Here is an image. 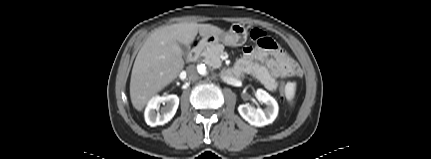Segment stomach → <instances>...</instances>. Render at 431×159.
Returning a JSON list of instances; mask_svg holds the SVG:
<instances>
[{
    "label": "stomach",
    "instance_id": "0dacf381",
    "mask_svg": "<svg viewBox=\"0 0 431 159\" xmlns=\"http://www.w3.org/2000/svg\"><path fill=\"white\" fill-rule=\"evenodd\" d=\"M247 40L246 28L238 23H234L228 31H223L217 35H211L205 39L207 45H214L222 42L226 46H242Z\"/></svg>",
    "mask_w": 431,
    "mask_h": 159
}]
</instances>
